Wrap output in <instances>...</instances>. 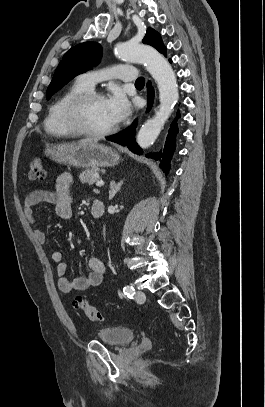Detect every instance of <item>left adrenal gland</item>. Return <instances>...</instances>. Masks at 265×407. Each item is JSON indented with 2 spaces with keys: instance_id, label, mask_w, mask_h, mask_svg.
Here are the masks:
<instances>
[{
  "instance_id": "left-adrenal-gland-1",
  "label": "left adrenal gland",
  "mask_w": 265,
  "mask_h": 407,
  "mask_svg": "<svg viewBox=\"0 0 265 407\" xmlns=\"http://www.w3.org/2000/svg\"><path fill=\"white\" fill-rule=\"evenodd\" d=\"M122 184H123V180L117 184L115 183V181H111L110 191H109V200H111L115 196V194L121 189Z\"/></svg>"
}]
</instances>
